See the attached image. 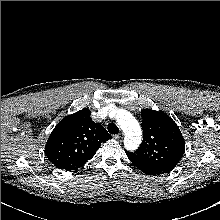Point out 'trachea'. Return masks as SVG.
Segmentation results:
<instances>
[{
	"instance_id": "trachea-1",
	"label": "trachea",
	"mask_w": 220,
	"mask_h": 220,
	"mask_svg": "<svg viewBox=\"0 0 220 220\" xmlns=\"http://www.w3.org/2000/svg\"><path fill=\"white\" fill-rule=\"evenodd\" d=\"M108 132L111 133V134H118L119 133V128L117 127L116 124H109L108 127Z\"/></svg>"
}]
</instances>
